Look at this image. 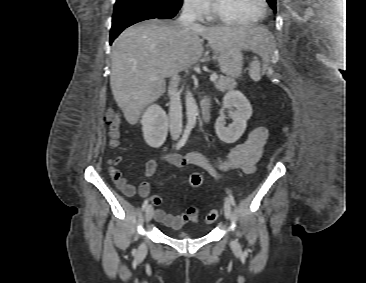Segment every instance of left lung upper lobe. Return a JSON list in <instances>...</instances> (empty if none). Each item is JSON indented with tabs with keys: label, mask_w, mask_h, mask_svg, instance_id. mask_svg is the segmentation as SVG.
I'll use <instances>...</instances> for the list:
<instances>
[{
	"label": "left lung upper lobe",
	"mask_w": 366,
	"mask_h": 283,
	"mask_svg": "<svg viewBox=\"0 0 366 283\" xmlns=\"http://www.w3.org/2000/svg\"><path fill=\"white\" fill-rule=\"evenodd\" d=\"M273 11L276 13V0H267Z\"/></svg>",
	"instance_id": "5c2ea615"
}]
</instances>
